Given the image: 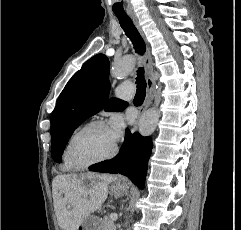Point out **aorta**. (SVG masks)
Wrapping results in <instances>:
<instances>
[{"instance_id": "1", "label": "aorta", "mask_w": 241, "mask_h": 230, "mask_svg": "<svg viewBox=\"0 0 241 230\" xmlns=\"http://www.w3.org/2000/svg\"><path fill=\"white\" fill-rule=\"evenodd\" d=\"M135 67V58L126 56L121 60L115 61L111 67V76L113 78L122 79L127 77ZM159 112L155 109L147 110L141 117L139 122V133L142 136H150L155 131L159 121Z\"/></svg>"}]
</instances>
